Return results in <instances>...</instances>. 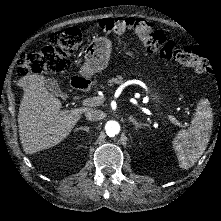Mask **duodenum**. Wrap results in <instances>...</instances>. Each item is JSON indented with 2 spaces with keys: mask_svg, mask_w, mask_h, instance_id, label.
Returning <instances> with one entry per match:
<instances>
[{
  "mask_svg": "<svg viewBox=\"0 0 221 221\" xmlns=\"http://www.w3.org/2000/svg\"><path fill=\"white\" fill-rule=\"evenodd\" d=\"M82 84H84V82L80 81L79 85L77 86L78 88H83Z\"/></svg>",
  "mask_w": 221,
  "mask_h": 221,
  "instance_id": "1",
  "label": "duodenum"
}]
</instances>
